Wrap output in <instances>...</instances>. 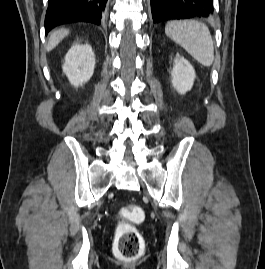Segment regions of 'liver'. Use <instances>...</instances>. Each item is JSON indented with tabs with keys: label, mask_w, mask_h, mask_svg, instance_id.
I'll return each mask as SVG.
<instances>
[{
	"label": "liver",
	"mask_w": 265,
	"mask_h": 269,
	"mask_svg": "<svg viewBox=\"0 0 265 269\" xmlns=\"http://www.w3.org/2000/svg\"><path fill=\"white\" fill-rule=\"evenodd\" d=\"M69 34L68 29H59L57 31H54L49 38L48 44H47V51H51L54 49L67 35Z\"/></svg>",
	"instance_id": "liver-1"
}]
</instances>
